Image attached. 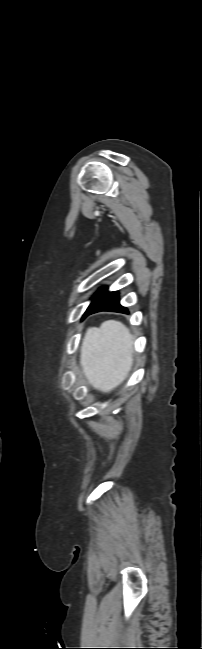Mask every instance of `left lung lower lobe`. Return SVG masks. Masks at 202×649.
Masks as SVG:
<instances>
[{"mask_svg":"<svg viewBox=\"0 0 202 649\" xmlns=\"http://www.w3.org/2000/svg\"><path fill=\"white\" fill-rule=\"evenodd\" d=\"M99 311L128 313L127 308L119 303L118 292H108L107 288L90 304L83 318Z\"/></svg>","mask_w":202,"mask_h":649,"instance_id":"1","label":"left lung lower lobe"}]
</instances>
